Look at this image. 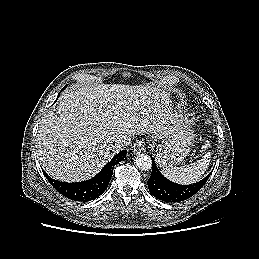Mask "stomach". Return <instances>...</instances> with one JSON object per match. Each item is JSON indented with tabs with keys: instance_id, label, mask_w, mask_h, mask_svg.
Masks as SVG:
<instances>
[{
	"instance_id": "0dacf381",
	"label": "stomach",
	"mask_w": 259,
	"mask_h": 259,
	"mask_svg": "<svg viewBox=\"0 0 259 259\" xmlns=\"http://www.w3.org/2000/svg\"><path fill=\"white\" fill-rule=\"evenodd\" d=\"M175 126L168 129L164 140L156 146V160L163 168H170L182 162L193 146L195 135L183 125L172 112Z\"/></svg>"
}]
</instances>
